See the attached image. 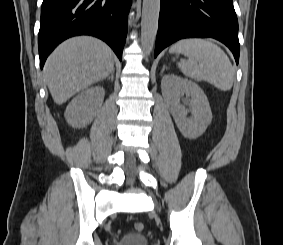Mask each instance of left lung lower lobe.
<instances>
[{
    "instance_id": "1",
    "label": "left lung lower lobe",
    "mask_w": 283,
    "mask_h": 245,
    "mask_svg": "<svg viewBox=\"0 0 283 245\" xmlns=\"http://www.w3.org/2000/svg\"><path fill=\"white\" fill-rule=\"evenodd\" d=\"M212 37L224 43L239 62L238 20L232 0H161L155 57L173 42Z\"/></svg>"
}]
</instances>
